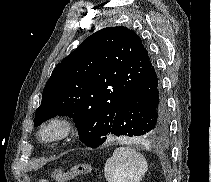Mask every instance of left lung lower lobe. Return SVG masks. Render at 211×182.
<instances>
[{"label": "left lung lower lobe", "instance_id": "0a47b994", "mask_svg": "<svg viewBox=\"0 0 211 182\" xmlns=\"http://www.w3.org/2000/svg\"><path fill=\"white\" fill-rule=\"evenodd\" d=\"M169 113L154 65L142 83L124 102L114 120L111 134L152 141L168 129Z\"/></svg>", "mask_w": 211, "mask_h": 182}]
</instances>
